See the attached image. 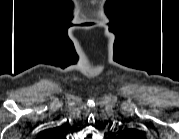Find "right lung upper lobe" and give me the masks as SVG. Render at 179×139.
Segmentation results:
<instances>
[{"label": "right lung upper lobe", "mask_w": 179, "mask_h": 139, "mask_svg": "<svg viewBox=\"0 0 179 139\" xmlns=\"http://www.w3.org/2000/svg\"><path fill=\"white\" fill-rule=\"evenodd\" d=\"M43 135L44 136H49V135L55 136V135H58V132L56 129H50V130L46 131Z\"/></svg>", "instance_id": "cb5924a9"}]
</instances>
